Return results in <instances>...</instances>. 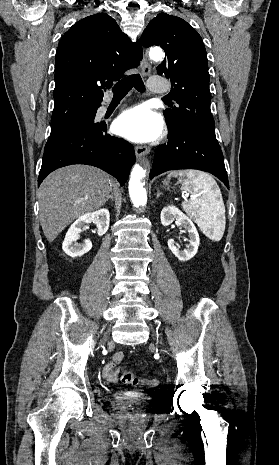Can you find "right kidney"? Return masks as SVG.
<instances>
[{
	"label": "right kidney",
	"instance_id": "ca27d5eb",
	"mask_svg": "<svg viewBox=\"0 0 279 465\" xmlns=\"http://www.w3.org/2000/svg\"><path fill=\"white\" fill-rule=\"evenodd\" d=\"M91 222L96 223L98 235H104L109 228V211L103 208L95 212L84 214L70 226L62 245L63 251L70 257H80L91 250L92 242L90 239H86L82 244L77 243L80 232Z\"/></svg>",
	"mask_w": 279,
	"mask_h": 465
}]
</instances>
